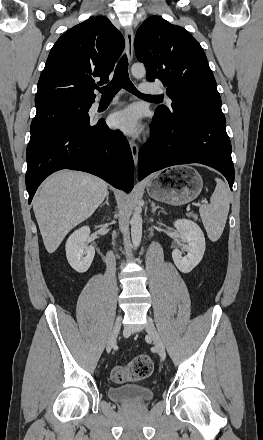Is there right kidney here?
<instances>
[{
	"label": "right kidney",
	"instance_id": "ca27d5eb",
	"mask_svg": "<svg viewBox=\"0 0 263 440\" xmlns=\"http://www.w3.org/2000/svg\"><path fill=\"white\" fill-rule=\"evenodd\" d=\"M89 234L90 228L83 226L74 231L66 242L65 249L68 263L79 273H84L89 269L95 255L94 247L86 244Z\"/></svg>",
	"mask_w": 263,
	"mask_h": 440
}]
</instances>
